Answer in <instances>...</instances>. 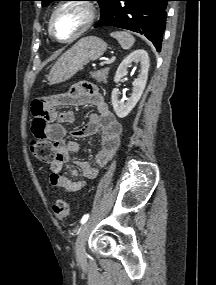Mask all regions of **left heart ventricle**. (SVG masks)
Masks as SVG:
<instances>
[{"label": "left heart ventricle", "mask_w": 216, "mask_h": 285, "mask_svg": "<svg viewBox=\"0 0 216 285\" xmlns=\"http://www.w3.org/2000/svg\"><path fill=\"white\" fill-rule=\"evenodd\" d=\"M87 13L79 6H67L61 9L53 20V32L59 39L75 34L86 22Z\"/></svg>", "instance_id": "b2bd125f"}]
</instances>
